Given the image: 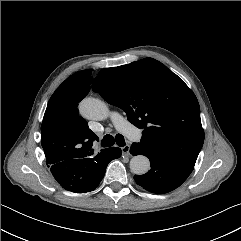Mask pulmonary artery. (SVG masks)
Instances as JSON below:
<instances>
[{
    "instance_id": "e3ab8cb5",
    "label": "pulmonary artery",
    "mask_w": 241,
    "mask_h": 241,
    "mask_svg": "<svg viewBox=\"0 0 241 241\" xmlns=\"http://www.w3.org/2000/svg\"><path fill=\"white\" fill-rule=\"evenodd\" d=\"M116 128L125 134L128 138L139 140V133L137 129L130 124L124 117L119 114H115L113 117Z\"/></svg>"
}]
</instances>
